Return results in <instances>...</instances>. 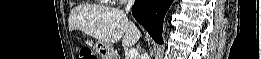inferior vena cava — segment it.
Returning <instances> with one entry per match:
<instances>
[{
  "mask_svg": "<svg viewBox=\"0 0 261 59\" xmlns=\"http://www.w3.org/2000/svg\"><path fill=\"white\" fill-rule=\"evenodd\" d=\"M133 4H134V0H128L127 6L125 8L126 13L131 11ZM141 59H149V56L147 54H143Z\"/></svg>",
  "mask_w": 261,
  "mask_h": 59,
  "instance_id": "602c4592",
  "label": "inferior vena cava"
}]
</instances>
